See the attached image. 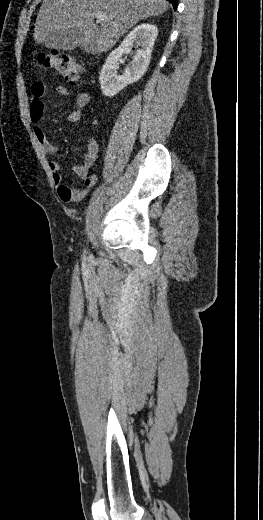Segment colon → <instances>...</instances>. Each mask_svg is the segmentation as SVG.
I'll return each instance as SVG.
<instances>
[{
	"instance_id": "obj_1",
	"label": "colon",
	"mask_w": 263,
	"mask_h": 520,
	"mask_svg": "<svg viewBox=\"0 0 263 520\" xmlns=\"http://www.w3.org/2000/svg\"><path fill=\"white\" fill-rule=\"evenodd\" d=\"M37 61L46 69L52 70L58 76L64 78L73 86L81 83L82 67L70 56L56 51L39 53Z\"/></svg>"
}]
</instances>
